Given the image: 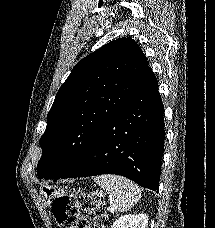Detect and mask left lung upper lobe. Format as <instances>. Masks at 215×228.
Instances as JSON below:
<instances>
[{
	"label": "left lung upper lobe",
	"mask_w": 215,
	"mask_h": 228,
	"mask_svg": "<svg viewBox=\"0 0 215 228\" xmlns=\"http://www.w3.org/2000/svg\"><path fill=\"white\" fill-rule=\"evenodd\" d=\"M138 44L120 38L79 61L60 87L40 139L38 178L68 171L149 71Z\"/></svg>",
	"instance_id": "obj_1"
}]
</instances>
